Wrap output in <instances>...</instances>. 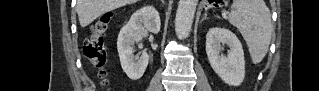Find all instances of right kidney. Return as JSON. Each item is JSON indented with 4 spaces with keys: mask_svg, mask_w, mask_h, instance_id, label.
Segmentation results:
<instances>
[{
    "mask_svg": "<svg viewBox=\"0 0 319 91\" xmlns=\"http://www.w3.org/2000/svg\"><path fill=\"white\" fill-rule=\"evenodd\" d=\"M160 16L153 6H145L137 10L129 22L120 30L117 39V50L121 67L131 80L140 79L148 65V54L142 52L134 56L133 45L140 42L148 32L157 34L160 31Z\"/></svg>",
    "mask_w": 319,
    "mask_h": 91,
    "instance_id": "1",
    "label": "right kidney"
}]
</instances>
